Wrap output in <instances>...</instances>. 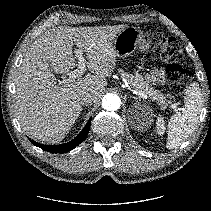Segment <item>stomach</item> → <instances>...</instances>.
<instances>
[{"instance_id":"obj_1","label":"stomach","mask_w":211,"mask_h":211,"mask_svg":"<svg viewBox=\"0 0 211 211\" xmlns=\"http://www.w3.org/2000/svg\"><path fill=\"white\" fill-rule=\"evenodd\" d=\"M151 47L149 37L136 27H125L113 41V49L116 57L130 56L137 48L141 52L148 51Z\"/></svg>"}]
</instances>
